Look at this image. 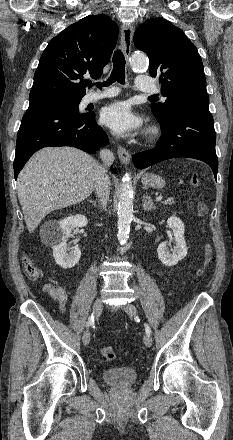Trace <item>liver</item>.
Wrapping results in <instances>:
<instances>
[{"mask_svg":"<svg viewBox=\"0 0 233 440\" xmlns=\"http://www.w3.org/2000/svg\"><path fill=\"white\" fill-rule=\"evenodd\" d=\"M99 164L73 147L38 151L18 175L17 193L29 233L50 212L78 204L95 188Z\"/></svg>","mask_w":233,"mask_h":440,"instance_id":"1","label":"liver"}]
</instances>
